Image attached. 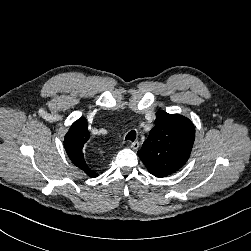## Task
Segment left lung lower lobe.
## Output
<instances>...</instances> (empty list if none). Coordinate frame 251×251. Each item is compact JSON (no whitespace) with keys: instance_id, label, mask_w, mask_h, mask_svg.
<instances>
[{"instance_id":"obj_1","label":"left lung lower lobe","mask_w":251,"mask_h":251,"mask_svg":"<svg viewBox=\"0 0 251 251\" xmlns=\"http://www.w3.org/2000/svg\"><path fill=\"white\" fill-rule=\"evenodd\" d=\"M154 176H156V177H165L164 175H154Z\"/></svg>"}]
</instances>
